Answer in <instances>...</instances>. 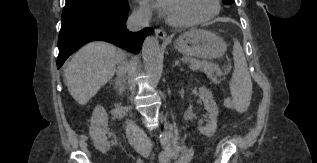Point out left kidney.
<instances>
[{
  "label": "left kidney",
  "mask_w": 317,
  "mask_h": 163,
  "mask_svg": "<svg viewBox=\"0 0 317 163\" xmlns=\"http://www.w3.org/2000/svg\"><path fill=\"white\" fill-rule=\"evenodd\" d=\"M199 97L204 103L209 119L207 124L205 126L198 127V130L203 135L211 137L217 129L218 107L214 101L212 93L206 87L199 88Z\"/></svg>",
  "instance_id": "5707ae66"
}]
</instances>
